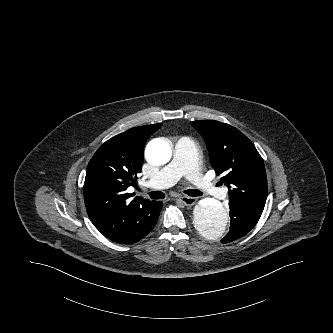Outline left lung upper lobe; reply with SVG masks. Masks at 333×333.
Returning <instances> with one entry per match:
<instances>
[{
    "label": "left lung upper lobe",
    "mask_w": 333,
    "mask_h": 333,
    "mask_svg": "<svg viewBox=\"0 0 333 333\" xmlns=\"http://www.w3.org/2000/svg\"><path fill=\"white\" fill-rule=\"evenodd\" d=\"M191 125L202 135L211 166L228 187L229 205L262 214L267 199V176L262 157L238 129L214 120Z\"/></svg>",
    "instance_id": "1"
}]
</instances>
